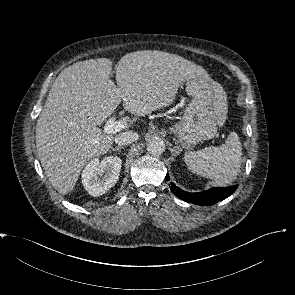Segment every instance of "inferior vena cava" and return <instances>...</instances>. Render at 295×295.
<instances>
[{
  "mask_svg": "<svg viewBox=\"0 0 295 295\" xmlns=\"http://www.w3.org/2000/svg\"><path fill=\"white\" fill-rule=\"evenodd\" d=\"M138 139L139 135L136 132L126 131L115 137V143L118 145H127L137 141Z\"/></svg>",
  "mask_w": 295,
  "mask_h": 295,
  "instance_id": "inferior-vena-cava-1",
  "label": "inferior vena cava"
}]
</instances>
